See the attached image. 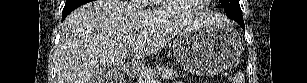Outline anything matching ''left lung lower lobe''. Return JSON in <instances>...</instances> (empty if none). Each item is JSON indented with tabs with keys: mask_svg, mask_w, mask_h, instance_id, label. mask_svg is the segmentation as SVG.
Returning <instances> with one entry per match:
<instances>
[{
	"mask_svg": "<svg viewBox=\"0 0 307 83\" xmlns=\"http://www.w3.org/2000/svg\"><path fill=\"white\" fill-rule=\"evenodd\" d=\"M238 24L245 30L244 23H238Z\"/></svg>",
	"mask_w": 307,
	"mask_h": 83,
	"instance_id": "obj_1",
	"label": "left lung lower lobe"
}]
</instances>
